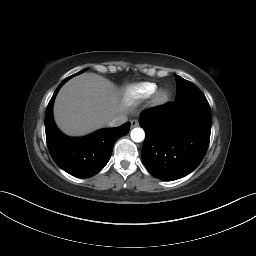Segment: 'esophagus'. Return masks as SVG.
Instances as JSON below:
<instances>
[{
    "mask_svg": "<svg viewBox=\"0 0 256 256\" xmlns=\"http://www.w3.org/2000/svg\"><path fill=\"white\" fill-rule=\"evenodd\" d=\"M130 123H131V127H132V128H133V127H137V126L139 125V123H138L137 120H131Z\"/></svg>",
    "mask_w": 256,
    "mask_h": 256,
    "instance_id": "34e87169",
    "label": "esophagus"
}]
</instances>
